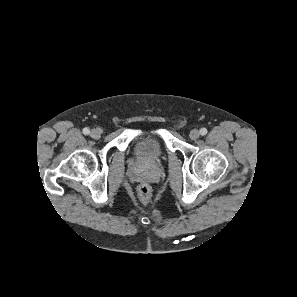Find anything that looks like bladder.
Instances as JSON below:
<instances>
[{"mask_svg":"<svg viewBox=\"0 0 297 297\" xmlns=\"http://www.w3.org/2000/svg\"><path fill=\"white\" fill-rule=\"evenodd\" d=\"M134 157L143 163L158 161L163 155V146L160 138L151 133H144L136 137L132 144Z\"/></svg>","mask_w":297,"mask_h":297,"instance_id":"obj_1","label":"bladder"}]
</instances>
